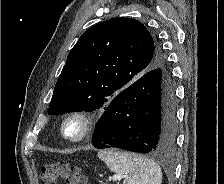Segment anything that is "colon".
Listing matches in <instances>:
<instances>
[{
  "label": "colon",
  "instance_id": "obj_1",
  "mask_svg": "<svg viewBox=\"0 0 224 184\" xmlns=\"http://www.w3.org/2000/svg\"><path fill=\"white\" fill-rule=\"evenodd\" d=\"M59 180L65 184H90L78 166L66 161L48 162L42 166V184H54Z\"/></svg>",
  "mask_w": 224,
  "mask_h": 184
}]
</instances>
